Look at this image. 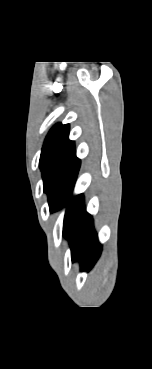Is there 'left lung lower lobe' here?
<instances>
[{
	"instance_id": "obj_1",
	"label": "left lung lower lobe",
	"mask_w": 152,
	"mask_h": 369,
	"mask_svg": "<svg viewBox=\"0 0 152 369\" xmlns=\"http://www.w3.org/2000/svg\"><path fill=\"white\" fill-rule=\"evenodd\" d=\"M65 235L70 242L72 261H80L81 270H90L100 256L101 245L93 227L92 216L84 209L82 194L74 205Z\"/></svg>"
}]
</instances>
